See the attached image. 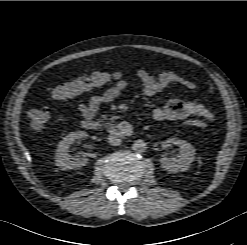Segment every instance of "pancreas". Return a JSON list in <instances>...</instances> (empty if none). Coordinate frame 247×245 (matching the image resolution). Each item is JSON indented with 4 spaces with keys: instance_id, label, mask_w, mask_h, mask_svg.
Here are the masks:
<instances>
[{
    "instance_id": "pancreas-1",
    "label": "pancreas",
    "mask_w": 247,
    "mask_h": 245,
    "mask_svg": "<svg viewBox=\"0 0 247 245\" xmlns=\"http://www.w3.org/2000/svg\"><path fill=\"white\" fill-rule=\"evenodd\" d=\"M103 120H106V121H108V120L113 121L114 119H113V118H109L107 115H104V116H103Z\"/></svg>"
}]
</instances>
